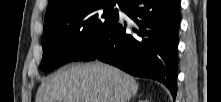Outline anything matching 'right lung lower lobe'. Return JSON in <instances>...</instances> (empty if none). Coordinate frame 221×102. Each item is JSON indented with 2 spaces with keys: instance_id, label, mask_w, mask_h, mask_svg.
Masks as SVG:
<instances>
[{
  "instance_id": "98d812e1",
  "label": "right lung lower lobe",
  "mask_w": 221,
  "mask_h": 102,
  "mask_svg": "<svg viewBox=\"0 0 221 102\" xmlns=\"http://www.w3.org/2000/svg\"><path fill=\"white\" fill-rule=\"evenodd\" d=\"M121 10L134 22H116L73 61L99 59L139 77L162 82L176 96L179 0H123ZM130 30V32H129Z\"/></svg>"
}]
</instances>
